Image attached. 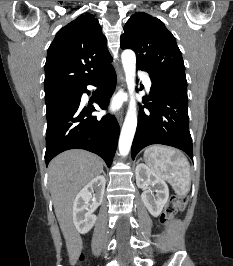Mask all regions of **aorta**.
Returning a JSON list of instances; mask_svg holds the SVG:
<instances>
[{"instance_id":"obj_1","label":"aorta","mask_w":233,"mask_h":266,"mask_svg":"<svg viewBox=\"0 0 233 266\" xmlns=\"http://www.w3.org/2000/svg\"><path fill=\"white\" fill-rule=\"evenodd\" d=\"M121 59L130 94V102L119 138V152L122 156H126L130 151L137 127L136 101L134 98L136 55L132 50L127 49L122 52Z\"/></svg>"}]
</instances>
